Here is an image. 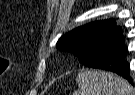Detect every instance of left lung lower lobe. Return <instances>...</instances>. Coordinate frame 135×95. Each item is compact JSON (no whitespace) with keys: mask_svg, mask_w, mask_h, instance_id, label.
<instances>
[{"mask_svg":"<svg viewBox=\"0 0 135 95\" xmlns=\"http://www.w3.org/2000/svg\"><path fill=\"white\" fill-rule=\"evenodd\" d=\"M126 55L127 47L120 31L104 38L83 65L115 72L133 84Z\"/></svg>","mask_w":135,"mask_h":95,"instance_id":"left-lung-lower-lobe-1","label":"left lung lower lobe"}]
</instances>
